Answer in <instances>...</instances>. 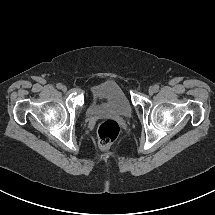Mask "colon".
I'll use <instances>...</instances> for the list:
<instances>
[{"label": "colon", "instance_id": "1", "mask_svg": "<svg viewBox=\"0 0 215 215\" xmlns=\"http://www.w3.org/2000/svg\"><path fill=\"white\" fill-rule=\"evenodd\" d=\"M120 126L112 119L101 122L98 126V143L101 149L108 148L119 136Z\"/></svg>", "mask_w": 215, "mask_h": 215}]
</instances>
